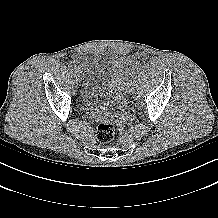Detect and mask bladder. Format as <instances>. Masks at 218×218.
Listing matches in <instances>:
<instances>
[{
  "label": "bladder",
  "instance_id": "31cf9c89",
  "mask_svg": "<svg viewBox=\"0 0 218 218\" xmlns=\"http://www.w3.org/2000/svg\"><path fill=\"white\" fill-rule=\"evenodd\" d=\"M75 63L82 81L80 99L83 106L89 111L109 115L114 101L120 98L131 64L126 58L100 57L88 52L78 53Z\"/></svg>",
  "mask_w": 218,
  "mask_h": 218
}]
</instances>
